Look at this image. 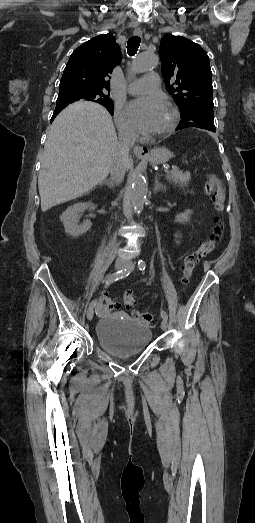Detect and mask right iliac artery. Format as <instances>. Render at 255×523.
Instances as JSON below:
<instances>
[{"instance_id": "obj_1", "label": "right iliac artery", "mask_w": 255, "mask_h": 523, "mask_svg": "<svg viewBox=\"0 0 255 523\" xmlns=\"http://www.w3.org/2000/svg\"><path fill=\"white\" fill-rule=\"evenodd\" d=\"M130 273V270L128 269H124V270H121V271H118V272H115L111 275H109L106 279H105V286H109L111 283H113L114 281L118 280V279H122L123 277H126L128 276ZM97 303V300H92L89 307L91 308H94L95 305Z\"/></svg>"}]
</instances>
